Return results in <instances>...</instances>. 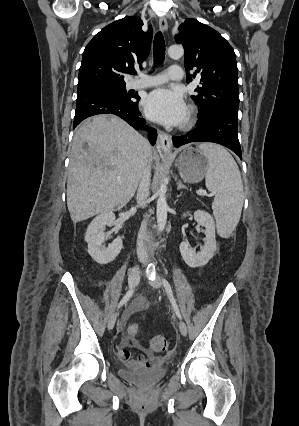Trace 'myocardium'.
<instances>
[{"mask_svg":"<svg viewBox=\"0 0 299 426\" xmlns=\"http://www.w3.org/2000/svg\"><path fill=\"white\" fill-rule=\"evenodd\" d=\"M196 120V109L193 106H190L188 108L187 117L184 121L182 127L184 129L191 127Z\"/></svg>","mask_w":299,"mask_h":426,"instance_id":"obj_1","label":"myocardium"}]
</instances>
